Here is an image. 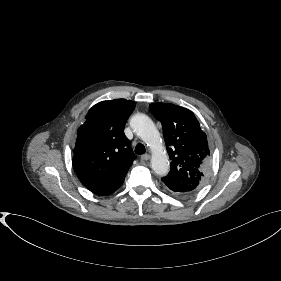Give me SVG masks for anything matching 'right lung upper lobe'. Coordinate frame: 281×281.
Returning <instances> with one entry per match:
<instances>
[{
  "label": "right lung upper lobe",
  "mask_w": 281,
  "mask_h": 281,
  "mask_svg": "<svg viewBox=\"0 0 281 281\" xmlns=\"http://www.w3.org/2000/svg\"><path fill=\"white\" fill-rule=\"evenodd\" d=\"M136 103L116 99L102 101L89 111L77 132L72 160L81 182L97 195H109L124 182L135 159L123 130Z\"/></svg>",
  "instance_id": "1"
}]
</instances>
